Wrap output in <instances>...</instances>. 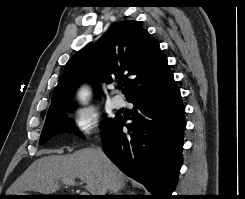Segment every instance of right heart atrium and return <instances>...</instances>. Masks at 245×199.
Listing matches in <instances>:
<instances>
[{"label": "right heart atrium", "instance_id": "1", "mask_svg": "<svg viewBox=\"0 0 245 199\" xmlns=\"http://www.w3.org/2000/svg\"><path fill=\"white\" fill-rule=\"evenodd\" d=\"M73 124L82 135L95 131L99 125L98 113L92 108H82L75 112Z\"/></svg>", "mask_w": 245, "mask_h": 199}]
</instances>
